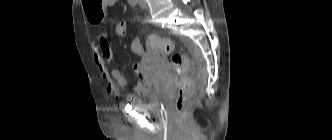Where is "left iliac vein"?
<instances>
[{"label":"left iliac vein","instance_id":"4c4485c4","mask_svg":"<svg viewBox=\"0 0 332 140\" xmlns=\"http://www.w3.org/2000/svg\"><path fill=\"white\" fill-rule=\"evenodd\" d=\"M139 6L142 9H147V4H146L145 0H139Z\"/></svg>","mask_w":332,"mask_h":140}]
</instances>
